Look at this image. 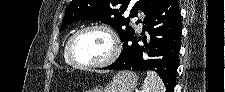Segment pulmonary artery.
Masks as SVG:
<instances>
[{
  "label": "pulmonary artery",
  "mask_w": 225,
  "mask_h": 92,
  "mask_svg": "<svg viewBox=\"0 0 225 92\" xmlns=\"http://www.w3.org/2000/svg\"><path fill=\"white\" fill-rule=\"evenodd\" d=\"M133 21L138 23L139 28L142 26V22H141V19H140L139 15L134 17Z\"/></svg>",
  "instance_id": "obj_1"
}]
</instances>
